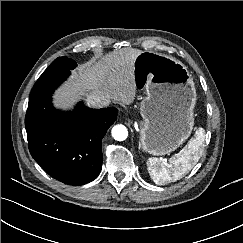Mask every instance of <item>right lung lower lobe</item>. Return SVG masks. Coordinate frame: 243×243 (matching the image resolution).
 I'll list each match as a JSON object with an SVG mask.
<instances>
[{"instance_id": "right-lung-lower-lobe-1", "label": "right lung lower lobe", "mask_w": 243, "mask_h": 243, "mask_svg": "<svg viewBox=\"0 0 243 243\" xmlns=\"http://www.w3.org/2000/svg\"><path fill=\"white\" fill-rule=\"evenodd\" d=\"M70 71L44 72L31 90L25 116L29 151L54 179L71 185L93 181L102 167L101 143L117 109L94 110L80 102L72 112L56 110L54 90Z\"/></svg>"}]
</instances>
